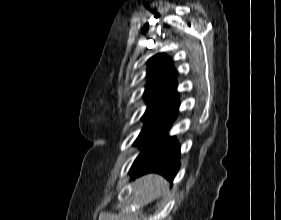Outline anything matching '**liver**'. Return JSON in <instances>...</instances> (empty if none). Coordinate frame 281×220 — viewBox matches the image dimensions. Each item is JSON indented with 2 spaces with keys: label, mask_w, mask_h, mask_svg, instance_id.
<instances>
[{
  "label": "liver",
  "mask_w": 281,
  "mask_h": 220,
  "mask_svg": "<svg viewBox=\"0 0 281 220\" xmlns=\"http://www.w3.org/2000/svg\"><path fill=\"white\" fill-rule=\"evenodd\" d=\"M135 191L141 197L151 201L165 193L168 182L158 174H148L136 180Z\"/></svg>",
  "instance_id": "liver-1"
}]
</instances>
